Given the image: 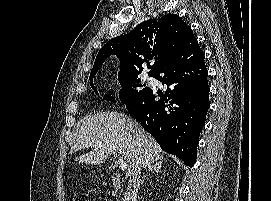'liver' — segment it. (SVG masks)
<instances>
[{"instance_id":"obj_1","label":"liver","mask_w":271,"mask_h":201,"mask_svg":"<svg viewBox=\"0 0 271 201\" xmlns=\"http://www.w3.org/2000/svg\"><path fill=\"white\" fill-rule=\"evenodd\" d=\"M90 147L93 150L80 155L79 162L98 165L110 153L118 152L128 163L126 178L134 175L140 162L147 167L164 160L155 139L135 120L116 111H101L84 118L71 153Z\"/></svg>"}]
</instances>
